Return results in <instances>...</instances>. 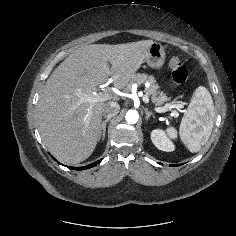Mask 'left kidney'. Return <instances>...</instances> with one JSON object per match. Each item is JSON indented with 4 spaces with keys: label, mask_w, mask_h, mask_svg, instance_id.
Returning a JSON list of instances; mask_svg holds the SVG:
<instances>
[{
    "label": "left kidney",
    "mask_w": 236,
    "mask_h": 236,
    "mask_svg": "<svg viewBox=\"0 0 236 236\" xmlns=\"http://www.w3.org/2000/svg\"><path fill=\"white\" fill-rule=\"evenodd\" d=\"M151 140L162 151L171 152L175 149L174 144L167 138L164 131L160 129H155L151 132Z\"/></svg>",
    "instance_id": "5707ae66"
}]
</instances>
